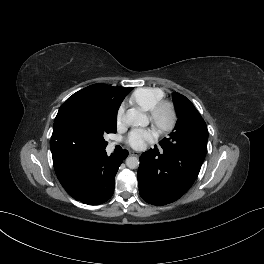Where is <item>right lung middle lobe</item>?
Instances as JSON below:
<instances>
[{
	"instance_id": "1",
	"label": "right lung middle lobe",
	"mask_w": 264,
	"mask_h": 264,
	"mask_svg": "<svg viewBox=\"0 0 264 264\" xmlns=\"http://www.w3.org/2000/svg\"><path fill=\"white\" fill-rule=\"evenodd\" d=\"M119 106L105 90L86 87L60 107L51 140L73 154L105 149L103 136L116 132Z\"/></svg>"
}]
</instances>
